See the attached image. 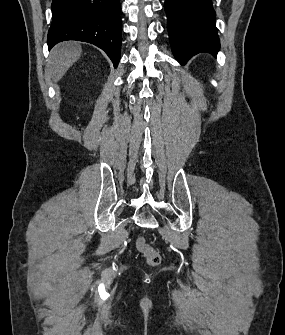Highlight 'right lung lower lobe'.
<instances>
[{
    "instance_id": "98d812e1",
    "label": "right lung lower lobe",
    "mask_w": 285,
    "mask_h": 335,
    "mask_svg": "<svg viewBox=\"0 0 285 335\" xmlns=\"http://www.w3.org/2000/svg\"><path fill=\"white\" fill-rule=\"evenodd\" d=\"M48 48L66 40L94 44L118 66L122 24L119 0H53Z\"/></svg>"
}]
</instances>
